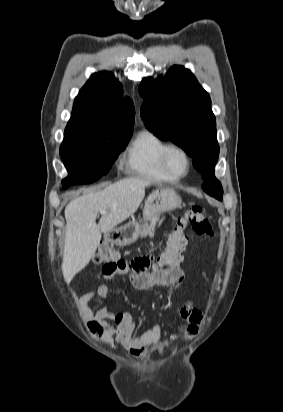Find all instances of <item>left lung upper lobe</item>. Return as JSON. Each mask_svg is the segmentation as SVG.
<instances>
[{"mask_svg":"<svg viewBox=\"0 0 283 412\" xmlns=\"http://www.w3.org/2000/svg\"><path fill=\"white\" fill-rule=\"evenodd\" d=\"M139 92L145 99L141 116L146 128L193 157V165L205 181L204 191L222 201L221 183L214 179L219 146L209 94L183 66H173L155 80L143 79Z\"/></svg>","mask_w":283,"mask_h":412,"instance_id":"1","label":"left lung upper lobe"}]
</instances>
